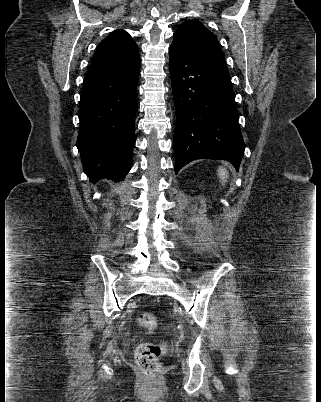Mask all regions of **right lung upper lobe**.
<instances>
[{"mask_svg":"<svg viewBox=\"0 0 321 402\" xmlns=\"http://www.w3.org/2000/svg\"><path fill=\"white\" fill-rule=\"evenodd\" d=\"M139 65L137 45L126 31L118 29L99 43L89 71L124 70Z\"/></svg>","mask_w":321,"mask_h":402,"instance_id":"obj_1","label":"right lung upper lobe"}]
</instances>
